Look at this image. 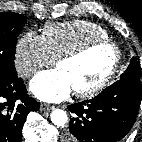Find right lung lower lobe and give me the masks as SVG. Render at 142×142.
<instances>
[{
    "label": "right lung lower lobe",
    "instance_id": "obj_1",
    "mask_svg": "<svg viewBox=\"0 0 142 142\" xmlns=\"http://www.w3.org/2000/svg\"><path fill=\"white\" fill-rule=\"evenodd\" d=\"M39 106L18 76L0 80V142H21L26 117Z\"/></svg>",
    "mask_w": 142,
    "mask_h": 142
}]
</instances>
